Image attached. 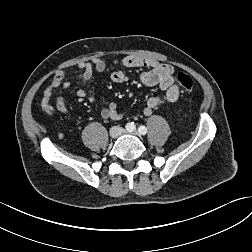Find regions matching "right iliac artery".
<instances>
[{"label":"right iliac artery","instance_id":"1","mask_svg":"<svg viewBox=\"0 0 252 252\" xmlns=\"http://www.w3.org/2000/svg\"><path fill=\"white\" fill-rule=\"evenodd\" d=\"M135 128H136V127H135V125H134L133 122L128 123V124L126 125V130L129 131V132L135 130Z\"/></svg>","mask_w":252,"mask_h":252}]
</instances>
